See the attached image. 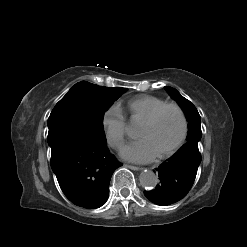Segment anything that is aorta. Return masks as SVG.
I'll return each instance as SVG.
<instances>
[{
  "mask_svg": "<svg viewBox=\"0 0 247 247\" xmlns=\"http://www.w3.org/2000/svg\"><path fill=\"white\" fill-rule=\"evenodd\" d=\"M139 181L142 187L153 189L158 184V176L151 170L143 171L140 174Z\"/></svg>",
  "mask_w": 247,
  "mask_h": 247,
  "instance_id": "obj_1",
  "label": "aorta"
}]
</instances>
